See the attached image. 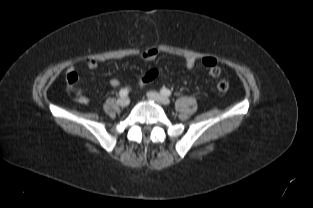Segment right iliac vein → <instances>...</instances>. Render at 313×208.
Masks as SVG:
<instances>
[{
    "label": "right iliac vein",
    "mask_w": 313,
    "mask_h": 208,
    "mask_svg": "<svg viewBox=\"0 0 313 208\" xmlns=\"http://www.w3.org/2000/svg\"><path fill=\"white\" fill-rule=\"evenodd\" d=\"M117 103L121 107H127L129 105V103H130V100L127 97H120L117 100Z\"/></svg>",
    "instance_id": "obj_1"
}]
</instances>
